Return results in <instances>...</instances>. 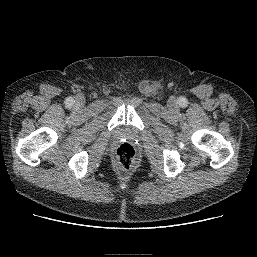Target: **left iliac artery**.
<instances>
[{
    "mask_svg": "<svg viewBox=\"0 0 257 257\" xmlns=\"http://www.w3.org/2000/svg\"><path fill=\"white\" fill-rule=\"evenodd\" d=\"M179 103H180L181 106H185V105L187 104L186 98L181 97V98L179 99Z\"/></svg>",
    "mask_w": 257,
    "mask_h": 257,
    "instance_id": "obj_1",
    "label": "left iliac artery"
}]
</instances>
